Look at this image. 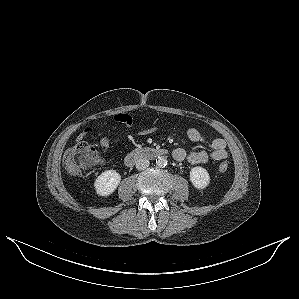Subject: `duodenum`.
<instances>
[{
  "mask_svg": "<svg viewBox=\"0 0 299 299\" xmlns=\"http://www.w3.org/2000/svg\"><path fill=\"white\" fill-rule=\"evenodd\" d=\"M169 153L166 148H154V147H144L138 148L130 152L125 158V164L128 167H132L137 160L146 158L153 159L160 156H165Z\"/></svg>",
  "mask_w": 299,
  "mask_h": 299,
  "instance_id": "1",
  "label": "duodenum"
}]
</instances>
